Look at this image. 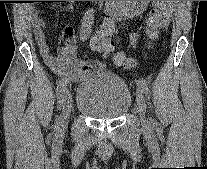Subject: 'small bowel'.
<instances>
[{
    "instance_id": "c3829d8e",
    "label": "small bowel",
    "mask_w": 207,
    "mask_h": 169,
    "mask_svg": "<svg viewBox=\"0 0 207 169\" xmlns=\"http://www.w3.org/2000/svg\"><path fill=\"white\" fill-rule=\"evenodd\" d=\"M73 3L74 1H67ZM146 1H108L106 5V19L102 29L113 33L115 22L139 14L145 6ZM33 25L34 36L39 52L46 65L56 74L67 80L77 81L103 69L100 61H85L78 57L76 51L75 33L71 25L62 28V41L54 54L48 44L44 29L45 20L35 10L29 13ZM81 38V37H80ZM84 41V40H83Z\"/></svg>"
}]
</instances>
